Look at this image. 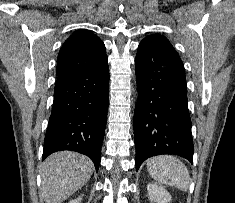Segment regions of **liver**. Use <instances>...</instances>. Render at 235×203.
Wrapping results in <instances>:
<instances>
[{
	"instance_id": "1",
	"label": "liver",
	"mask_w": 235,
	"mask_h": 203,
	"mask_svg": "<svg viewBox=\"0 0 235 203\" xmlns=\"http://www.w3.org/2000/svg\"><path fill=\"white\" fill-rule=\"evenodd\" d=\"M92 161L82 154L61 151L50 155L41 170L45 203H62L84 186L93 173Z\"/></svg>"
}]
</instances>
